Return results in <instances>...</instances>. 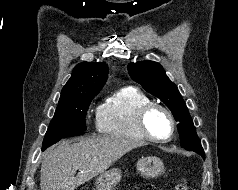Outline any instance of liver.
<instances>
[{
  "label": "liver",
  "mask_w": 238,
  "mask_h": 190,
  "mask_svg": "<svg viewBox=\"0 0 238 190\" xmlns=\"http://www.w3.org/2000/svg\"><path fill=\"white\" fill-rule=\"evenodd\" d=\"M142 145L139 141L120 137L63 142L48 152L42 161L41 190H74L104 173L127 152Z\"/></svg>",
  "instance_id": "liver-1"
}]
</instances>
